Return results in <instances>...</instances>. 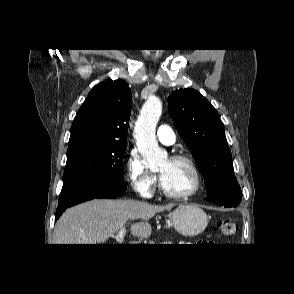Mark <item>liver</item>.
Returning <instances> with one entry per match:
<instances>
[{"mask_svg":"<svg viewBox=\"0 0 294 294\" xmlns=\"http://www.w3.org/2000/svg\"><path fill=\"white\" fill-rule=\"evenodd\" d=\"M173 205H151L136 200H91L68 209L56 223L55 244H100L124 227L128 220L134 236L149 237L148 220Z\"/></svg>","mask_w":294,"mask_h":294,"instance_id":"obj_1","label":"liver"}]
</instances>
